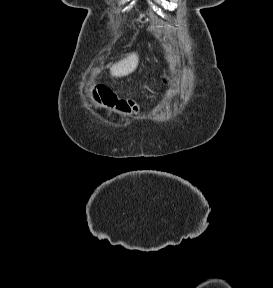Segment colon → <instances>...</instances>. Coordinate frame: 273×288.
<instances>
[{"label":"colon","instance_id":"1","mask_svg":"<svg viewBox=\"0 0 273 288\" xmlns=\"http://www.w3.org/2000/svg\"><path fill=\"white\" fill-rule=\"evenodd\" d=\"M93 98L98 103L108 107H113L117 111L123 113H128L135 109L131 103L120 100L111 90L105 86H98L93 92Z\"/></svg>","mask_w":273,"mask_h":288}]
</instances>
